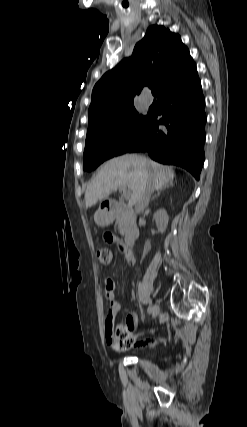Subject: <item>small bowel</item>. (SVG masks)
Masks as SVG:
<instances>
[{"label":"small bowel","instance_id":"obj_1","mask_svg":"<svg viewBox=\"0 0 247 427\" xmlns=\"http://www.w3.org/2000/svg\"><path fill=\"white\" fill-rule=\"evenodd\" d=\"M103 243L106 246L112 245V243H119V238L114 236V232L112 229H105L103 232ZM123 252L125 254V258L129 265H134L136 262V258L134 253L131 250L123 249ZM105 296L107 298L108 304H109V310L107 314L106 324L108 322L114 321L116 315L118 314L120 310V303L116 298L115 294V283L112 279L107 278L105 280ZM164 318L162 317L159 321V324L164 323ZM125 326L130 329V331H133L137 326V315L135 313H129L126 316L125 319ZM109 341V340H108ZM155 343V339L153 338H146L143 340H140L136 342L135 344L138 346H146V345H152ZM119 351V350H118Z\"/></svg>","mask_w":247,"mask_h":427}]
</instances>
